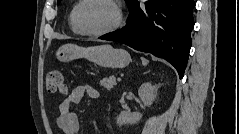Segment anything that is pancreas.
<instances>
[{
    "instance_id": "cf45deb5",
    "label": "pancreas",
    "mask_w": 239,
    "mask_h": 134,
    "mask_svg": "<svg viewBox=\"0 0 239 134\" xmlns=\"http://www.w3.org/2000/svg\"><path fill=\"white\" fill-rule=\"evenodd\" d=\"M99 85L107 90H111L117 85L115 76H109L108 78H103L100 80Z\"/></svg>"
}]
</instances>
